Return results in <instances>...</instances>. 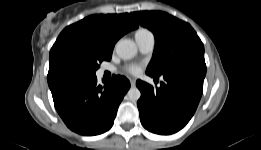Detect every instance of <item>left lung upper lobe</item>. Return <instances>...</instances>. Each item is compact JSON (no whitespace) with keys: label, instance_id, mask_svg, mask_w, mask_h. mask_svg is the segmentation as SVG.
<instances>
[{"label":"left lung upper lobe","instance_id":"left-lung-upper-lobe-1","mask_svg":"<svg viewBox=\"0 0 261 150\" xmlns=\"http://www.w3.org/2000/svg\"><path fill=\"white\" fill-rule=\"evenodd\" d=\"M131 15L155 36V48L146 72L160 76L183 63L206 66L204 45L188 23L161 11H139Z\"/></svg>","mask_w":261,"mask_h":150}]
</instances>
